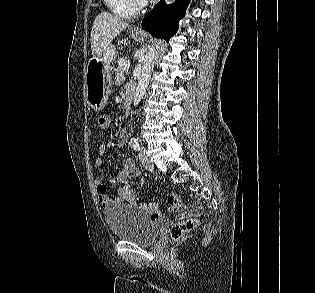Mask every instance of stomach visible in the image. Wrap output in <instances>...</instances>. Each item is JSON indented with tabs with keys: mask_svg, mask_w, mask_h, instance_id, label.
<instances>
[{
	"mask_svg": "<svg viewBox=\"0 0 315 293\" xmlns=\"http://www.w3.org/2000/svg\"><path fill=\"white\" fill-rule=\"evenodd\" d=\"M136 41L143 42L145 33L132 32ZM116 59V49L109 47L105 57L94 56L89 60L86 73V98L94 111H101L112 88V73L110 63Z\"/></svg>",
	"mask_w": 315,
	"mask_h": 293,
	"instance_id": "obj_1",
	"label": "stomach"
}]
</instances>
